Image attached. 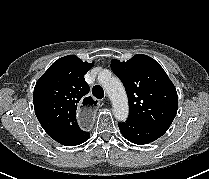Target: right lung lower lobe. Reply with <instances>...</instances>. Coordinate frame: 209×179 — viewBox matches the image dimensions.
I'll use <instances>...</instances> for the list:
<instances>
[{
	"label": "right lung lower lobe",
	"mask_w": 209,
	"mask_h": 179,
	"mask_svg": "<svg viewBox=\"0 0 209 179\" xmlns=\"http://www.w3.org/2000/svg\"><path fill=\"white\" fill-rule=\"evenodd\" d=\"M89 137H90V134L88 132H84L82 135H80L77 139H75L74 141H72L67 146H76V145H79V144L87 141L89 139Z\"/></svg>",
	"instance_id": "98d812e1"
}]
</instances>
